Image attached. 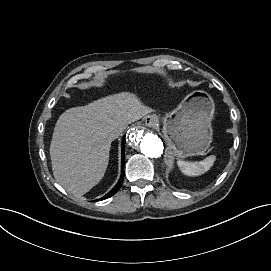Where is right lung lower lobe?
Returning a JSON list of instances; mask_svg holds the SVG:
<instances>
[{"label": "right lung lower lobe", "instance_id": "right-lung-lower-lobe-1", "mask_svg": "<svg viewBox=\"0 0 271 271\" xmlns=\"http://www.w3.org/2000/svg\"><path fill=\"white\" fill-rule=\"evenodd\" d=\"M124 154H125V140L123 139V142H122V165H121L120 179H119L118 183L116 184V186L110 192H108L103 198L98 199L96 201L107 199V198L113 196L114 194H116L118 192V190L120 189L122 182H123V179H124Z\"/></svg>", "mask_w": 271, "mask_h": 271}]
</instances>
